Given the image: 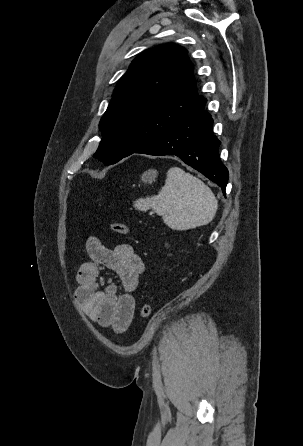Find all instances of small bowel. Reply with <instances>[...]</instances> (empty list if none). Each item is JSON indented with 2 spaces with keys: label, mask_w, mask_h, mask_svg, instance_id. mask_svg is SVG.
<instances>
[{
  "label": "small bowel",
  "mask_w": 303,
  "mask_h": 446,
  "mask_svg": "<svg viewBox=\"0 0 303 446\" xmlns=\"http://www.w3.org/2000/svg\"><path fill=\"white\" fill-rule=\"evenodd\" d=\"M85 247L89 261L77 271L75 298L90 320L123 333L134 316V292L144 271L143 261L129 244L108 248L98 238L89 237ZM102 270L114 272L119 286L103 277Z\"/></svg>",
  "instance_id": "obj_1"
}]
</instances>
